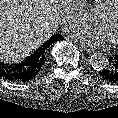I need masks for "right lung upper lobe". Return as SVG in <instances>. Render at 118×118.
<instances>
[{
	"label": "right lung upper lobe",
	"mask_w": 118,
	"mask_h": 118,
	"mask_svg": "<svg viewBox=\"0 0 118 118\" xmlns=\"http://www.w3.org/2000/svg\"><path fill=\"white\" fill-rule=\"evenodd\" d=\"M56 42V37L52 36L50 40L46 41L41 47H39L35 53L33 54L34 57H38V58H45V53L48 50L49 46Z\"/></svg>",
	"instance_id": "cb5924a9"
}]
</instances>
